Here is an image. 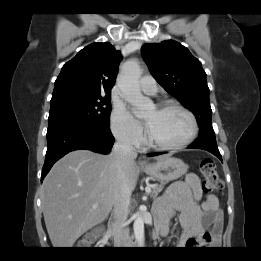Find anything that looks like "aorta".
I'll return each instance as SVG.
<instances>
[{
    "instance_id": "obj_1",
    "label": "aorta",
    "mask_w": 261,
    "mask_h": 261,
    "mask_svg": "<svg viewBox=\"0 0 261 261\" xmlns=\"http://www.w3.org/2000/svg\"><path fill=\"white\" fill-rule=\"evenodd\" d=\"M141 76L140 65L137 61H128L121 67L118 76L119 87L124 99L137 108L136 116L142 115L146 110L152 107V101L144 97L139 86ZM134 235L139 245H144V220L141 214L135 215L133 224Z\"/></svg>"
}]
</instances>
